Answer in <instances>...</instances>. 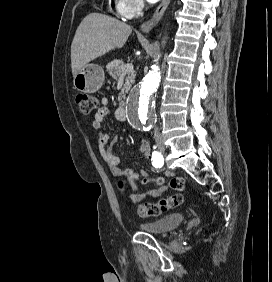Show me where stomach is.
Returning a JSON list of instances; mask_svg holds the SVG:
<instances>
[{
    "instance_id": "obj_1",
    "label": "stomach",
    "mask_w": 272,
    "mask_h": 282,
    "mask_svg": "<svg viewBox=\"0 0 272 282\" xmlns=\"http://www.w3.org/2000/svg\"><path fill=\"white\" fill-rule=\"evenodd\" d=\"M105 79L104 70L97 64H87L74 77V87L80 92L95 93L103 85Z\"/></svg>"
}]
</instances>
